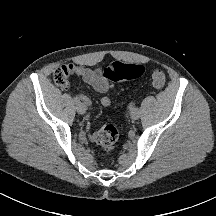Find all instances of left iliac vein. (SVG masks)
I'll return each instance as SVG.
<instances>
[{
	"mask_svg": "<svg viewBox=\"0 0 216 216\" xmlns=\"http://www.w3.org/2000/svg\"><path fill=\"white\" fill-rule=\"evenodd\" d=\"M130 116L132 119L137 120L140 117V110L138 108H134L130 112Z\"/></svg>",
	"mask_w": 216,
	"mask_h": 216,
	"instance_id": "obj_1",
	"label": "left iliac vein"
}]
</instances>
